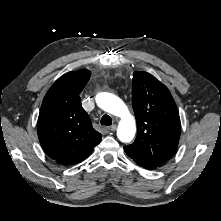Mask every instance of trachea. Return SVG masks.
<instances>
[{"label":"trachea","instance_id":"1","mask_svg":"<svg viewBox=\"0 0 221 221\" xmlns=\"http://www.w3.org/2000/svg\"><path fill=\"white\" fill-rule=\"evenodd\" d=\"M101 124L105 126H110L112 124V119L109 115H103L101 118Z\"/></svg>","mask_w":221,"mask_h":221}]
</instances>
